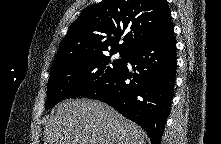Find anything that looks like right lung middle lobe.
Masks as SVG:
<instances>
[{
	"label": "right lung middle lobe",
	"instance_id": "1",
	"mask_svg": "<svg viewBox=\"0 0 221 144\" xmlns=\"http://www.w3.org/2000/svg\"><path fill=\"white\" fill-rule=\"evenodd\" d=\"M117 52H110V56ZM105 53L51 69L47 84L46 108L50 109L67 98L82 96L112 78L123 66L126 53L121 59L111 61Z\"/></svg>",
	"mask_w": 221,
	"mask_h": 144
}]
</instances>
